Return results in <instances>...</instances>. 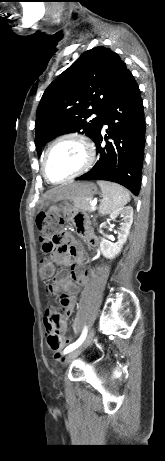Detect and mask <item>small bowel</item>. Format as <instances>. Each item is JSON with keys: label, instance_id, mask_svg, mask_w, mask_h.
Instances as JSON below:
<instances>
[{"label": "small bowel", "instance_id": "small-bowel-1", "mask_svg": "<svg viewBox=\"0 0 165 461\" xmlns=\"http://www.w3.org/2000/svg\"><path fill=\"white\" fill-rule=\"evenodd\" d=\"M59 216L71 217V223L75 226L77 233L83 237L90 245L97 243L95 236L88 231L86 225L85 209H69L68 204H60L57 211ZM70 251H53L50 259L57 265L70 266V271L61 270L54 276V281L47 286V292L55 296L61 291L60 308H49L45 313L44 326L46 333H57L62 340H68L65 337L67 321L74 310L76 299L79 292V286L83 285L87 279V272L82 269L83 251L74 238L70 241ZM71 258L74 261H71ZM59 311V313H58Z\"/></svg>", "mask_w": 165, "mask_h": 461}]
</instances>
